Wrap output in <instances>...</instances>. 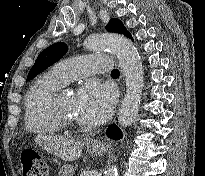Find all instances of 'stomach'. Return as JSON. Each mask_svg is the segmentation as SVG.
Segmentation results:
<instances>
[{
    "label": "stomach",
    "instance_id": "0dacf381",
    "mask_svg": "<svg viewBox=\"0 0 205 176\" xmlns=\"http://www.w3.org/2000/svg\"><path fill=\"white\" fill-rule=\"evenodd\" d=\"M104 147L101 144H93L92 142H87V151L92 155H97L103 151ZM73 166L66 165L60 171V176H73Z\"/></svg>",
    "mask_w": 205,
    "mask_h": 176
}]
</instances>
